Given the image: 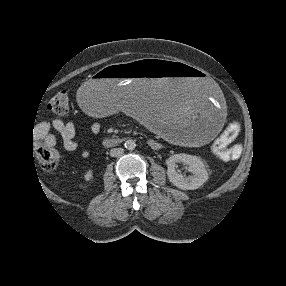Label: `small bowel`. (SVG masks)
<instances>
[{
  "label": "small bowel",
  "instance_id": "small-bowel-1",
  "mask_svg": "<svg viewBox=\"0 0 286 286\" xmlns=\"http://www.w3.org/2000/svg\"><path fill=\"white\" fill-rule=\"evenodd\" d=\"M101 125L98 122H94L90 126V130L94 135L101 132ZM52 131L56 132L60 138L63 148L68 152H76L79 150V145L75 141L76 126L71 122H65L60 119H54L49 122L39 123L34 130L36 138L44 139L47 144L54 146L57 143V137ZM241 147L234 145L229 150V159L236 160L240 157ZM82 158H89L91 152L89 149H82L80 151Z\"/></svg>",
  "mask_w": 286,
  "mask_h": 286
}]
</instances>
